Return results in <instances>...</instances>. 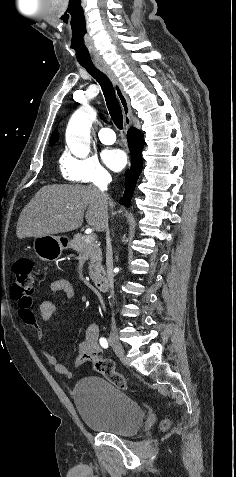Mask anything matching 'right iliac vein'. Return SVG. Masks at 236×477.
I'll return each mask as SVG.
<instances>
[{"mask_svg": "<svg viewBox=\"0 0 236 477\" xmlns=\"http://www.w3.org/2000/svg\"><path fill=\"white\" fill-rule=\"evenodd\" d=\"M109 341H110V344L114 350V352L116 353V355L121 359V360H124L125 359V356H124V349H123V346L119 340V337L116 333H111L110 337H109Z\"/></svg>", "mask_w": 236, "mask_h": 477, "instance_id": "63e3f726", "label": "right iliac vein"}]
</instances>
